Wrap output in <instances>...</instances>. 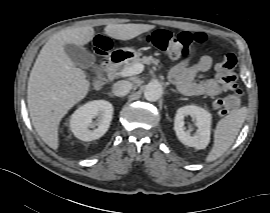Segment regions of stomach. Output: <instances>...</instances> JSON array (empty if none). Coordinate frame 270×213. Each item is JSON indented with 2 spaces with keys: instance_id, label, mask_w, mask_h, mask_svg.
Wrapping results in <instances>:
<instances>
[{
  "instance_id": "0dacf381",
  "label": "stomach",
  "mask_w": 270,
  "mask_h": 213,
  "mask_svg": "<svg viewBox=\"0 0 270 213\" xmlns=\"http://www.w3.org/2000/svg\"><path fill=\"white\" fill-rule=\"evenodd\" d=\"M125 58L132 59L135 57H139L142 55V52L140 50H135L134 48H123L119 50Z\"/></svg>"
}]
</instances>
